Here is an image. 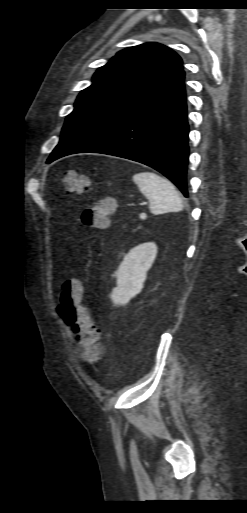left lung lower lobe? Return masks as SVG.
<instances>
[{
	"label": "left lung lower lobe",
	"mask_w": 247,
	"mask_h": 513,
	"mask_svg": "<svg viewBox=\"0 0 247 513\" xmlns=\"http://www.w3.org/2000/svg\"><path fill=\"white\" fill-rule=\"evenodd\" d=\"M184 76L183 71L76 131L56 146L47 163L73 153L114 155L156 169L188 197Z\"/></svg>",
	"instance_id": "0a47b994"
}]
</instances>
